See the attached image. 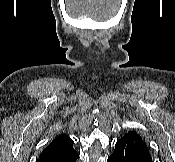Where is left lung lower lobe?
I'll list each match as a JSON object with an SVG mask.
<instances>
[{
  "label": "left lung lower lobe",
  "instance_id": "1",
  "mask_svg": "<svg viewBox=\"0 0 175 162\" xmlns=\"http://www.w3.org/2000/svg\"><path fill=\"white\" fill-rule=\"evenodd\" d=\"M107 162H152V158L141 136L131 131L116 142Z\"/></svg>",
  "mask_w": 175,
  "mask_h": 162
}]
</instances>
